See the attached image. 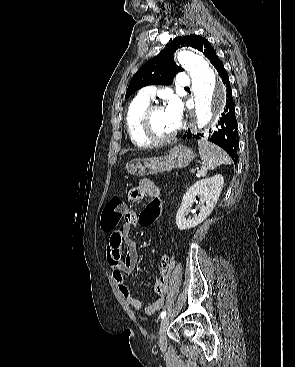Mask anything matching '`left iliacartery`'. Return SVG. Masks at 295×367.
Returning a JSON list of instances; mask_svg holds the SVG:
<instances>
[{"mask_svg": "<svg viewBox=\"0 0 295 367\" xmlns=\"http://www.w3.org/2000/svg\"><path fill=\"white\" fill-rule=\"evenodd\" d=\"M165 316H166V311H162L161 314H160V317L164 318Z\"/></svg>", "mask_w": 295, "mask_h": 367, "instance_id": "1", "label": "left iliac artery"}]
</instances>
